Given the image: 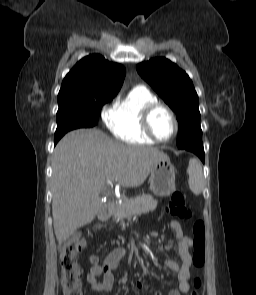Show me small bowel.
Listing matches in <instances>:
<instances>
[{
  "label": "small bowel",
  "mask_w": 256,
  "mask_h": 295,
  "mask_svg": "<svg viewBox=\"0 0 256 295\" xmlns=\"http://www.w3.org/2000/svg\"><path fill=\"white\" fill-rule=\"evenodd\" d=\"M169 226L174 233L177 242L179 261L177 262L173 259L165 260V266L177 273L178 282V287L172 289L168 295H181L187 293L190 289L188 280L190 277V267L192 262L190 255L192 240L183 232L181 225L177 221H171ZM126 254L127 252L124 248H116L106 256L103 263H96L92 266L89 273L87 274V281L92 292L99 293L112 290L114 285L113 272L115 269H117L121 259H123ZM99 277H102L101 281L98 280ZM136 286L138 288H146L147 291L152 293V295H160L150 285L137 282Z\"/></svg>",
  "instance_id": "c3829d8e"
}]
</instances>
